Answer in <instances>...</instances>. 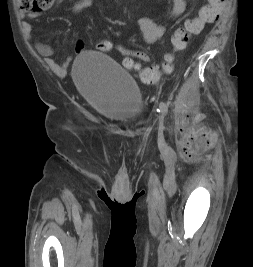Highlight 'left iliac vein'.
<instances>
[{
    "label": "left iliac vein",
    "mask_w": 253,
    "mask_h": 267,
    "mask_svg": "<svg viewBox=\"0 0 253 267\" xmlns=\"http://www.w3.org/2000/svg\"><path fill=\"white\" fill-rule=\"evenodd\" d=\"M164 121L163 119L159 122V131H158V143L159 145L164 144Z\"/></svg>",
    "instance_id": "left-iliac-vein-1"
}]
</instances>
